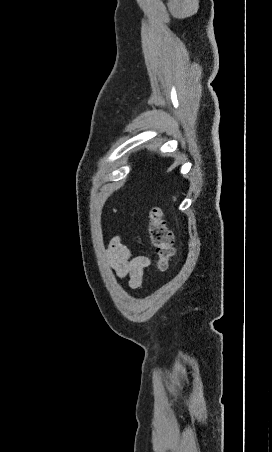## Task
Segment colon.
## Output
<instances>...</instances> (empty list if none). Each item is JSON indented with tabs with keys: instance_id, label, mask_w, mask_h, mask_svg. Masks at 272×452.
<instances>
[{
	"instance_id": "1",
	"label": "colon",
	"mask_w": 272,
	"mask_h": 452,
	"mask_svg": "<svg viewBox=\"0 0 272 452\" xmlns=\"http://www.w3.org/2000/svg\"><path fill=\"white\" fill-rule=\"evenodd\" d=\"M149 219V234L157 255L156 267L163 273L167 271L174 253L173 236L160 207L154 206L150 209Z\"/></svg>"
}]
</instances>
